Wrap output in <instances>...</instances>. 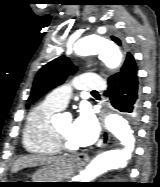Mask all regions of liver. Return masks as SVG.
Masks as SVG:
<instances>
[{"mask_svg":"<svg viewBox=\"0 0 160 187\" xmlns=\"http://www.w3.org/2000/svg\"><path fill=\"white\" fill-rule=\"evenodd\" d=\"M61 157H45L39 155H27L17 159L12 167V172L15 173L26 167H34L41 165H50L56 161L62 160Z\"/></svg>","mask_w":160,"mask_h":187,"instance_id":"liver-1","label":"liver"}]
</instances>
